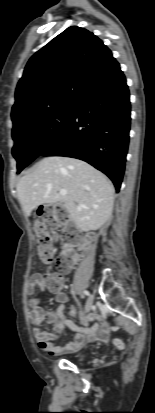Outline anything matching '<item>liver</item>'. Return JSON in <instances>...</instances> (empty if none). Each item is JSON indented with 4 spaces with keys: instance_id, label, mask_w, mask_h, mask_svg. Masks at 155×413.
Returning a JSON list of instances; mask_svg holds the SVG:
<instances>
[{
    "instance_id": "6515ba94",
    "label": "liver",
    "mask_w": 155,
    "mask_h": 413,
    "mask_svg": "<svg viewBox=\"0 0 155 413\" xmlns=\"http://www.w3.org/2000/svg\"><path fill=\"white\" fill-rule=\"evenodd\" d=\"M17 197L26 216L42 204L62 203L81 231L97 230L110 218L114 187L88 163L50 156L39 161L17 184ZM66 189L65 196L60 190Z\"/></svg>"
}]
</instances>
